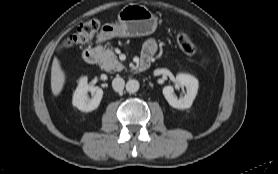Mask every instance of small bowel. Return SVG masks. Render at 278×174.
Instances as JSON below:
<instances>
[{
	"label": "small bowel",
	"instance_id": "small-bowel-1",
	"mask_svg": "<svg viewBox=\"0 0 278 174\" xmlns=\"http://www.w3.org/2000/svg\"><path fill=\"white\" fill-rule=\"evenodd\" d=\"M157 47V42L154 39L147 40L143 46V57L151 58V56L156 52Z\"/></svg>",
	"mask_w": 278,
	"mask_h": 174
}]
</instances>
